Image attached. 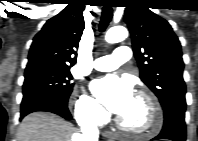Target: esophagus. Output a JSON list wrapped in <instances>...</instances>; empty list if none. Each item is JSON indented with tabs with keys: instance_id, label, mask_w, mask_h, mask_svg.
<instances>
[{
	"instance_id": "obj_1",
	"label": "esophagus",
	"mask_w": 198,
	"mask_h": 141,
	"mask_svg": "<svg viewBox=\"0 0 198 141\" xmlns=\"http://www.w3.org/2000/svg\"><path fill=\"white\" fill-rule=\"evenodd\" d=\"M107 136H108V137H110V139H112V135H110V134H107Z\"/></svg>"
}]
</instances>
